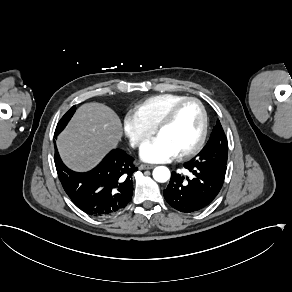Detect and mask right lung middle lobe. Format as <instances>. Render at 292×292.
I'll use <instances>...</instances> for the list:
<instances>
[{
    "label": "right lung middle lobe",
    "mask_w": 292,
    "mask_h": 292,
    "mask_svg": "<svg viewBox=\"0 0 292 292\" xmlns=\"http://www.w3.org/2000/svg\"><path fill=\"white\" fill-rule=\"evenodd\" d=\"M75 110H76L75 106L71 107L68 110V112L61 118L55 130V134H54L55 137L65 128V126L67 125V123L69 122L73 114L75 113Z\"/></svg>",
    "instance_id": "obj_1"
}]
</instances>
